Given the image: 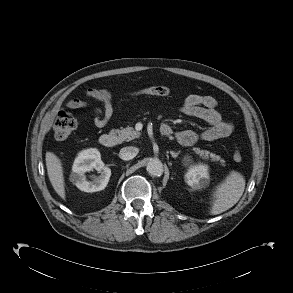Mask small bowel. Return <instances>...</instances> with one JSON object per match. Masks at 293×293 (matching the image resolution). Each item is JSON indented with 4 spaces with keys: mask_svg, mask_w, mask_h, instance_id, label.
<instances>
[{
    "mask_svg": "<svg viewBox=\"0 0 293 293\" xmlns=\"http://www.w3.org/2000/svg\"><path fill=\"white\" fill-rule=\"evenodd\" d=\"M93 99L100 103L101 106H93L94 125L103 128L107 125L114 113V98L106 89L91 88L88 89L83 98H73L67 102V107L73 110L82 109L90 106L89 100ZM217 101L209 95L189 94L183 100L180 108L183 114L194 116L202 119L207 123L208 128L201 134L192 130L175 132V137L183 145H192L198 140L214 141L228 137L234 126L231 122L222 118L216 110ZM162 127L172 129L168 124Z\"/></svg>",
    "mask_w": 293,
    "mask_h": 293,
    "instance_id": "c3829d8e",
    "label": "small bowel"
}]
</instances>
